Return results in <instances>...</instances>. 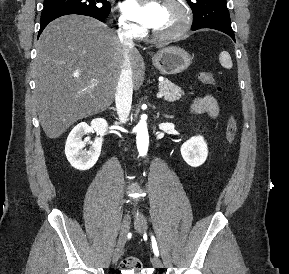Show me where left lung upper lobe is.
Wrapping results in <instances>:
<instances>
[{
    "mask_svg": "<svg viewBox=\"0 0 289 274\" xmlns=\"http://www.w3.org/2000/svg\"><path fill=\"white\" fill-rule=\"evenodd\" d=\"M193 11L192 28L205 26L231 27L226 0H187Z\"/></svg>",
    "mask_w": 289,
    "mask_h": 274,
    "instance_id": "left-lung-upper-lobe-1",
    "label": "left lung upper lobe"
}]
</instances>
